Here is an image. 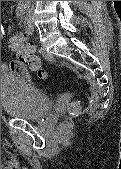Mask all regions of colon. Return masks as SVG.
Returning a JSON list of instances; mask_svg holds the SVG:
<instances>
[{
    "mask_svg": "<svg viewBox=\"0 0 121 169\" xmlns=\"http://www.w3.org/2000/svg\"><path fill=\"white\" fill-rule=\"evenodd\" d=\"M9 47L16 53L20 62L28 65V67L36 71L42 78L46 77V72L42 67L40 58L34 53L33 47L25 43L23 38L14 35L9 40Z\"/></svg>",
    "mask_w": 121,
    "mask_h": 169,
    "instance_id": "colon-1",
    "label": "colon"
}]
</instances>
